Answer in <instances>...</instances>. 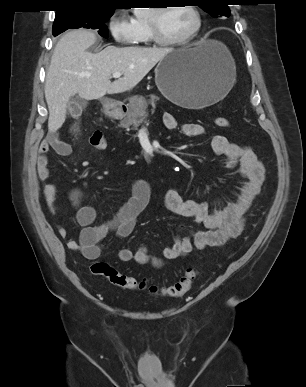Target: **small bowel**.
<instances>
[{
	"instance_id": "1",
	"label": "small bowel",
	"mask_w": 306,
	"mask_h": 387,
	"mask_svg": "<svg viewBox=\"0 0 306 387\" xmlns=\"http://www.w3.org/2000/svg\"><path fill=\"white\" fill-rule=\"evenodd\" d=\"M164 126L168 130H179L186 137H195L205 133L199 123H186L179 126L171 113H164ZM211 148L215 155L225 158L226 167L236 171L243 182L239 192L223 207L211 210L210 201L184 199L176 189H169L164 194V203L172 213L189 219L192 226L186 233L176 235L171 246H164L161 256L150 254L147 246L140 245L136 249L123 248L118 252L122 262L135 261L140 265L150 264L160 267L165 260H173L185 256L193 249H204L224 244L228 239L241 234L244 226V217L261 191L265 177V169L254 151L249 146L230 142L222 135H215L211 140ZM58 155L69 156L71 145L60 139L57 133H51L41 143L36 161L37 175L41 181L50 177L48 168V153L50 150ZM43 194L50 211L56 210V188L52 184L45 185ZM81 190L74 188L70 192V200L75 208L76 220L82 227L78 239H69L67 246L70 250L81 251L85 258L96 260L102 253V243L111 234L118 238L128 237L134 230L136 219L147 206L151 187L144 180L136 181L132 186L130 198L117 209L112 219L96 223V210L91 206L81 205ZM202 226L203 229L198 227ZM59 235L67 237V229L59 225Z\"/></svg>"
}]
</instances>
